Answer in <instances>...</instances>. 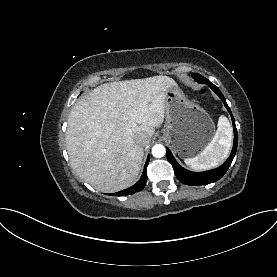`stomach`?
I'll return each mask as SVG.
<instances>
[{"label":"stomach","instance_id":"stomach-1","mask_svg":"<svg viewBox=\"0 0 277 277\" xmlns=\"http://www.w3.org/2000/svg\"><path fill=\"white\" fill-rule=\"evenodd\" d=\"M166 122L162 133L182 158L199 155L215 135L210 115L176 86L165 97Z\"/></svg>","mask_w":277,"mask_h":277}]
</instances>
